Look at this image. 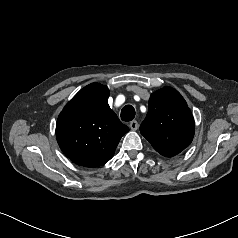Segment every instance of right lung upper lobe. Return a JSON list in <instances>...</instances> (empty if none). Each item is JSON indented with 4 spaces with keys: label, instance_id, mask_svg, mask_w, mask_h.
<instances>
[{
    "label": "right lung upper lobe",
    "instance_id": "obj_1",
    "mask_svg": "<svg viewBox=\"0 0 238 238\" xmlns=\"http://www.w3.org/2000/svg\"><path fill=\"white\" fill-rule=\"evenodd\" d=\"M109 89L91 83L81 89L59 114L56 137L74 163L98 167L109 161L129 128L108 105Z\"/></svg>",
    "mask_w": 238,
    "mask_h": 238
}]
</instances>
